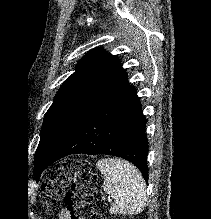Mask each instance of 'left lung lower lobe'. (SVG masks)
I'll list each match as a JSON object with an SVG mask.
<instances>
[{"label":"left lung lower lobe","instance_id":"0a47b994","mask_svg":"<svg viewBox=\"0 0 211 219\" xmlns=\"http://www.w3.org/2000/svg\"><path fill=\"white\" fill-rule=\"evenodd\" d=\"M136 89L125 73L75 124L51 156L35 154L41 173L55 161L71 154H106L133 163L148 180V140Z\"/></svg>","mask_w":211,"mask_h":219}]
</instances>
